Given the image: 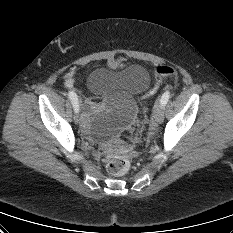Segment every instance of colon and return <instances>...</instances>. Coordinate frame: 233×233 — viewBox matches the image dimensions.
Returning a JSON list of instances; mask_svg holds the SVG:
<instances>
[{"label": "colon", "instance_id": "obj_1", "mask_svg": "<svg viewBox=\"0 0 233 233\" xmlns=\"http://www.w3.org/2000/svg\"><path fill=\"white\" fill-rule=\"evenodd\" d=\"M176 71L170 66H158L155 70V81L150 90L144 95L145 98L152 97L158 90L161 80L164 77H175ZM132 151V147L124 141L118 143V150L114 156L110 158L106 165L109 174L113 176H122L127 173L130 167L127 153Z\"/></svg>", "mask_w": 233, "mask_h": 233}]
</instances>
